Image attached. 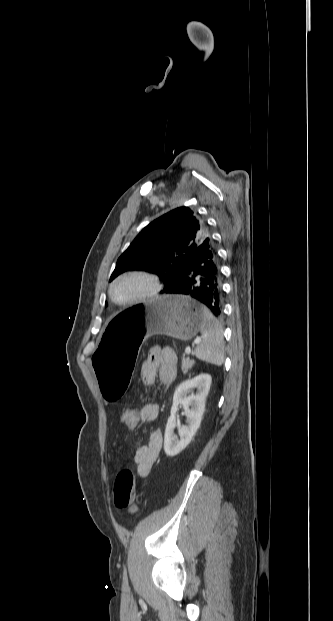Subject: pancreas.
<instances>
[{"label": "pancreas", "mask_w": 333, "mask_h": 621, "mask_svg": "<svg viewBox=\"0 0 333 621\" xmlns=\"http://www.w3.org/2000/svg\"><path fill=\"white\" fill-rule=\"evenodd\" d=\"M194 364H195V361L193 359H190L189 357H187V358L183 357L182 358V371H183V373L184 374L187 373L188 370H190L193 367Z\"/></svg>", "instance_id": "obj_1"}]
</instances>
